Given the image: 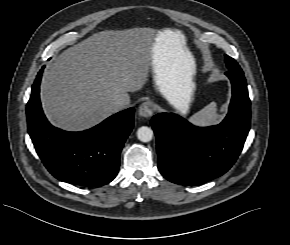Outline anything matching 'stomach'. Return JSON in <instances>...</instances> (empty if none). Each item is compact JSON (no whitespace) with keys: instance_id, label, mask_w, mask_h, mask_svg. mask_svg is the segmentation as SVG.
I'll list each match as a JSON object with an SVG mask.
<instances>
[{"instance_id":"0dacf381","label":"stomach","mask_w":290,"mask_h":245,"mask_svg":"<svg viewBox=\"0 0 290 245\" xmlns=\"http://www.w3.org/2000/svg\"><path fill=\"white\" fill-rule=\"evenodd\" d=\"M157 44V41H156ZM153 65H152V75L153 80L156 85L157 90L183 115L187 114L190 103L192 101L193 92L195 85L193 81L191 83H181L178 86L175 94L177 96L176 100L172 99L167 88V75L166 71L159 61V56L157 54V46L153 48Z\"/></svg>"}]
</instances>
